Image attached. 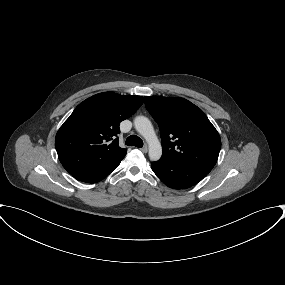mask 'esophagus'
Returning a JSON list of instances; mask_svg holds the SVG:
<instances>
[{
    "mask_svg": "<svg viewBox=\"0 0 285 285\" xmlns=\"http://www.w3.org/2000/svg\"><path fill=\"white\" fill-rule=\"evenodd\" d=\"M143 153H147L148 151V147L144 146L143 148L140 149Z\"/></svg>",
    "mask_w": 285,
    "mask_h": 285,
    "instance_id": "34e87169",
    "label": "esophagus"
}]
</instances>
